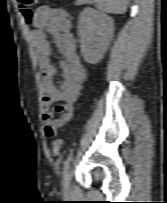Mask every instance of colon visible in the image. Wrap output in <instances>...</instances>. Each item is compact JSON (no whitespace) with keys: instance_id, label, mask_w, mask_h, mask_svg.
Returning a JSON list of instances; mask_svg holds the SVG:
<instances>
[{"instance_id":"colon-1","label":"colon","mask_w":167,"mask_h":203,"mask_svg":"<svg viewBox=\"0 0 167 203\" xmlns=\"http://www.w3.org/2000/svg\"><path fill=\"white\" fill-rule=\"evenodd\" d=\"M39 3V0H17V4L25 18V20L30 23L32 20L31 9L33 6ZM62 139L57 138L53 141L51 146V153L53 156L57 157L61 154L62 150Z\"/></svg>"}]
</instances>
